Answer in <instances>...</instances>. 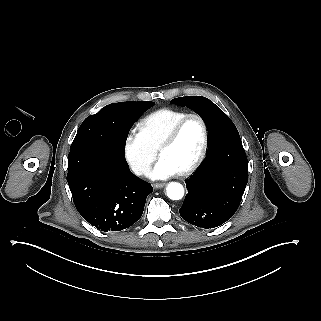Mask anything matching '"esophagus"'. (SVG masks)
Wrapping results in <instances>:
<instances>
[{"label": "esophagus", "instance_id": "34e87169", "mask_svg": "<svg viewBox=\"0 0 321 321\" xmlns=\"http://www.w3.org/2000/svg\"><path fill=\"white\" fill-rule=\"evenodd\" d=\"M165 185H166L165 183H156V184H154V187H155L156 189H159V188L164 187Z\"/></svg>", "mask_w": 321, "mask_h": 321}]
</instances>
